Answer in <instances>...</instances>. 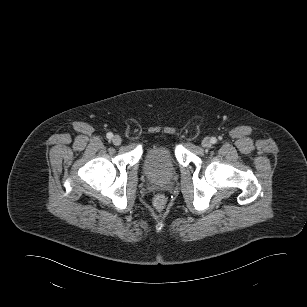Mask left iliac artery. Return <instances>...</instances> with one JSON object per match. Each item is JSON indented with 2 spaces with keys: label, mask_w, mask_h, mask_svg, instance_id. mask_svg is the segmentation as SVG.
Returning <instances> with one entry per match:
<instances>
[{
  "label": "left iliac artery",
  "mask_w": 307,
  "mask_h": 307,
  "mask_svg": "<svg viewBox=\"0 0 307 307\" xmlns=\"http://www.w3.org/2000/svg\"><path fill=\"white\" fill-rule=\"evenodd\" d=\"M216 142H217V139H216L215 137H212V138H211V143H212V144H215Z\"/></svg>",
  "instance_id": "left-iliac-artery-1"
}]
</instances>
